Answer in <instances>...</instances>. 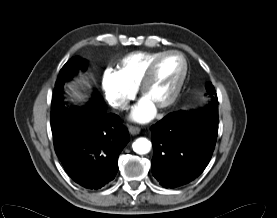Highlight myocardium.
Returning a JSON list of instances; mask_svg holds the SVG:
<instances>
[{
  "label": "myocardium",
  "instance_id": "f54148a6",
  "mask_svg": "<svg viewBox=\"0 0 277 218\" xmlns=\"http://www.w3.org/2000/svg\"><path fill=\"white\" fill-rule=\"evenodd\" d=\"M169 55H176L181 59L182 64H183V71H182L180 79H179L177 85L175 86L174 90L172 91L170 97L166 101H164L163 103H161L160 105L157 106L159 109H165V108L170 107L178 99V97L181 93V90L184 86L185 80L187 78L188 69H189L186 57L181 52L176 51V50H168V51H164V52L160 53L158 56H156L150 62L149 66L147 67V69L140 81V84L138 86L141 95L144 96L147 86L150 84V82L152 81V79L155 75V71H156V68H157L159 62L163 58H165Z\"/></svg>",
  "mask_w": 277,
  "mask_h": 218
}]
</instances>
